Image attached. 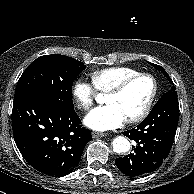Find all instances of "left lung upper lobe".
Masks as SVG:
<instances>
[{
	"instance_id": "left-lung-upper-lobe-1",
	"label": "left lung upper lobe",
	"mask_w": 194,
	"mask_h": 194,
	"mask_svg": "<svg viewBox=\"0 0 194 194\" xmlns=\"http://www.w3.org/2000/svg\"><path fill=\"white\" fill-rule=\"evenodd\" d=\"M148 63L151 64L156 69L160 70L166 77H168V80L170 82H172L169 78V75L166 73V71L161 66L150 63V62H148ZM166 96H177L176 88L174 86H172L171 89L168 92H166L165 94H163V96L161 98L166 97Z\"/></svg>"
}]
</instances>
